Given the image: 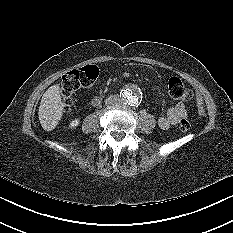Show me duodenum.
I'll return each mask as SVG.
<instances>
[{"label":"duodenum","mask_w":233,"mask_h":233,"mask_svg":"<svg viewBox=\"0 0 233 233\" xmlns=\"http://www.w3.org/2000/svg\"><path fill=\"white\" fill-rule=\"evenodd\" d=\"M100 101L99 97H96L92 100V104H97Z\"/></svg>","instance_id":"obj_1"}]
</instances>
